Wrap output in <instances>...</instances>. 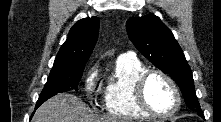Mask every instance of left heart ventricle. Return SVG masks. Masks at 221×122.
<instances>
[{
	"mask_svg": "<svg viewBox=\"0 0 221 122\" xmlns=\"http://www.w3.org/2000/svg\"><path fill=\"white\" fill-rule=\"evenodd\" d=\"M146 99L153 110L168 113L175 106V95L171 86L160 76H152L146 85Z\"/></svg>",
	"mask_w": 221,
	"mask_h": 122,
	"instance_id": "1",
	"label": "left heart ventricle"
}]
</instances>
